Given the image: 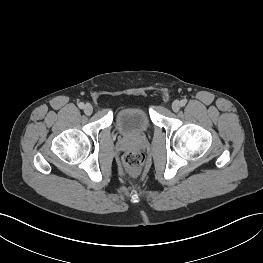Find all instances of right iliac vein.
Here are the masks:
<instances>
[{
	"label": "right iliac vein",
	"mask_w": 263,
	"mask_h": 263,
	"mask_svg": "<svg viewBox=\"0 0 263 263\" xmlns=\"http://www.w3.org/2000/svg\"><path fill=\"white\" fill-rule=\"evenodd\" d=\"M84 112L86 115H91L92 112H93V107L91 104L87 103L85 106H84Z\"/></svg>",
	"instance_id": "obj_1"
}]
</instances>
